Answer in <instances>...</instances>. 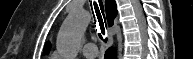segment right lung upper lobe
<instances>
[{
	"instance_id": "obj_1",
	"label": "right lung upper lobe",
	"mask_w": 193,
	"mask_h": 59,
	"mask_svg": "<svg viewBox=\"0 0 193 59\" xmlns=\"http://www.w3.org/2000/svg\"><path fill=\"white\" fill-rule=\"evenodd\" d=\"M106 15H107V21L111 26L113 24L114 18L117 15V7L114 0H106ZM50 47H51L50 43L47 42L44 48L45 53L49 52Z\"/></svg>"
}]
</instances>
